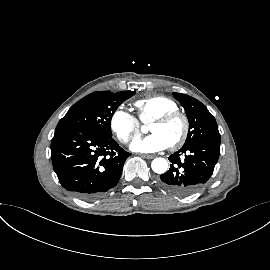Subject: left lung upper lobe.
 I'll list each match as a JSON object with an SVG mask.
<instances>
[{
  "label": "left lung upper lobe",
  "instance_id": "5c2ea615",
  "mask_svg": "<svg viewBox=\"0 0 270 270\" xmlns=\"http://www.w3.org/2000/svg\"><path fill=\"white\" fill-rule=\"evenodd\" d=\"M173 96L183 106L189 121V131L184 146L198 141L220 143L217 123L208 109L200 101L188 95L174 92Z\"/></svg>",
  "mask_w": 270,
  "mask_h": 270
}]
</instances>
